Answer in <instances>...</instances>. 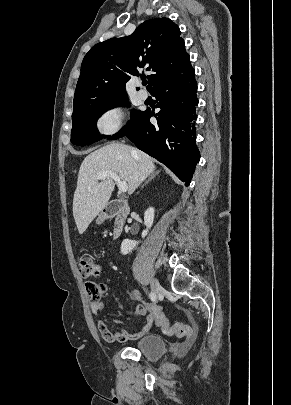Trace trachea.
<instances>
[{
  "mask_svg": "<svg viewBox=\"0 0 291 405\" xmlns=\"http://www.w3.org/2000/svg\"><path fill=\"white\" fill-rule=\"evenodd\" d=\"M142 84H143V85H146V84H147V80L143 79Z\"/></svg>",
  "mask_w": 291,
  "mask_h": 405,
  "instance_id": "trachea-1",
  "label": "trachea"
}]
</instances>
